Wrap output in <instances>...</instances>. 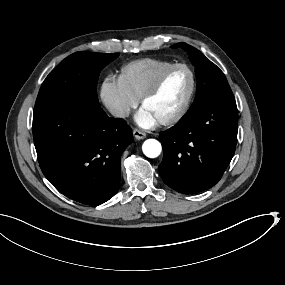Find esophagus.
Wrapping results in <instances>:
<instances>
[{"label": "esophagus", "instance_id": "esophagus-1", "mask_svg": "<svg viewBox=\"0 0 285 285\" xmlns=\"http://www.w3.org/2000/svg\"><path fill=\"white\" fill-rule=\"evenodd\" d=\"M133 135L136 139H144L146 137V134L138 129L133 130Z\"/></svg>", "mask_w": 285, "mask_h": 285}]
</instances>
